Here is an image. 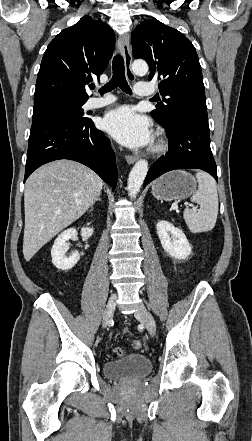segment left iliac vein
<instances>
[{"label":"left iliac vein","instance_id":"obj_1","mask_svg":"<svg viewBox=\"0 0 252 441\" xmlns=\"http://www.w3.org/2000/svg\"><path fill=\"white\" fill-rule=\"evenodd\" d=\"M135 317L142 321L151 336L155 335V320L152 314L143 305L139 306L138 310L135 312Z\"/></svg>","mask_w":252,"mask_h":441}]
</instances>
